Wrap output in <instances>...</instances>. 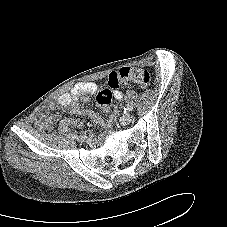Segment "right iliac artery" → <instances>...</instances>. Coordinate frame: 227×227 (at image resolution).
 Wrapping results in <instances>:
<instances>
[{
    "instance_id": "obj_1",
    "label": "right iliac artery",
    "mask_w": 227,
    "mask_h": 227,
    "mask_svg": "<svg viewBox=\"0 0 227 227\" xmlns=\"http://www.w3.org/2000/svg\"><path fill=\"white\" fill-rule=\"evenodd\" d=\"M78 137L77 134H72V138L76 139Z\"/></svg>"
}]
</instances>
